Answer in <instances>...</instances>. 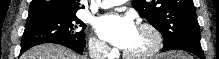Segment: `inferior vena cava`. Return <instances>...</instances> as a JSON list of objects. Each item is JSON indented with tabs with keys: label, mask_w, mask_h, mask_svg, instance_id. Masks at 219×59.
<instances>
[{
	"label": "inferior vena cava",
	"mask_w": 219,
	"mask_h": 59,
	"mask_svg": "<svg viewBox=\"0 0 219 59\" xmlns=\"http://www.w3.org/2000/svg\"><path fill=\"white\" fill-rule=\"evenodd\" d=\"M107 52V48L103 43H96L90 47L91 59H105L104 55Z\"/></svg>",
	"instance_id": "602c4592"
}]
</instances>
